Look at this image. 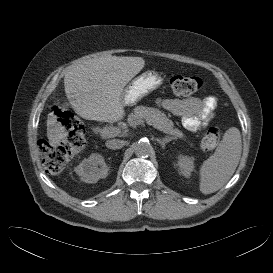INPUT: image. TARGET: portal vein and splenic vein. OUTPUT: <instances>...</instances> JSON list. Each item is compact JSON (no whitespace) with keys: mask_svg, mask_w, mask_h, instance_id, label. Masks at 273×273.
Here are the masks:
<instances>
[{"mask_svg":"<svg viewBox=\"0 0 273 273\" xmlns=\"http://www.w3.org/2000/svg\"><path fill=\"white\" fill-rule=\"evenodd\" d=\"M144 121L139 120L137 122V125H141L143 124ZM120 133V129L116 128V127H107V128H103L100 131V134L102 137H114L117 136Z\"/></svg>","mask_w":273,"mask_h":273,"instance_id":"18ae733b","label":"portal vein and splenic vein"}]
</instances>
